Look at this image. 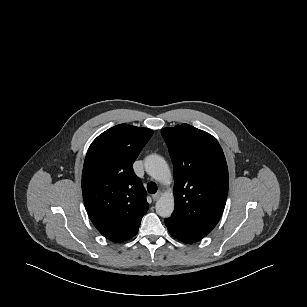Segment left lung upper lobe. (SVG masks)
Segmentation results:
<instances>
[{
    "label": "left lung upper lobe",
    "instance_id": "5c2ea615",
    "mask_svg": "<svg viewBox=\"0 0 307 307\" xmlns=\"http://www.w3.org/2000/svg\"><path fill=\"white\" fill-rule=\"evenodd\" d=\"M174 165L175 209L169 218L199 238L218 223L229 177L224 153L209 133L189 124L161 131Z\"/></svg>",
    "mask_w": 307,
    "mask_h": 307
}]
</instances>
